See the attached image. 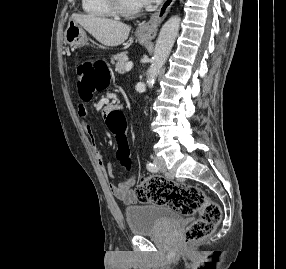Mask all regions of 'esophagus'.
<instances>
[{
    "mask_svg": "<svg viewBox=\"0 0 286 269\" xmlns=\"http://www.w3.org/2000/svg\"><path fill=\"white\" fill-rule=\"evenodd\" d=\"M175 0H165L147 22L139 24L137 32L146 39H154L158 28L167 16Z\"/></svg>",
    "mask_w": 286,
    "mask_h": 269,
    "instance_id": "obj_1",
    "label": "esophagus"
}]
</instances>
